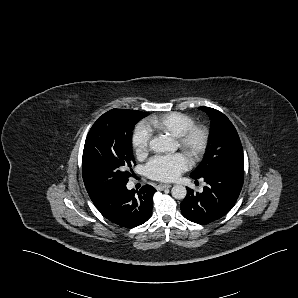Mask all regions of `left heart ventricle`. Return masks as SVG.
<instances>
[{"label": "left heart ventricle", "mask_w": 298, "mask_h": 298, "mask_svg": "<svg viewBox=\"0 0 298 298\" xmlns=\"http://www.w3.org/2000/svg\"><path fill=\"white\" fill-rule=\"evenodd\" d=\"M166 145H167V146H170V145H171L170 141H167V142H166ZM192 146H193V142H192V141L188 142V143L184 146V148L182 149V150H183V154H184V156L186 155V153L190 152V150L192 149Z\"/></svg>", "instance_id": "obj_1"}]
</instances>
